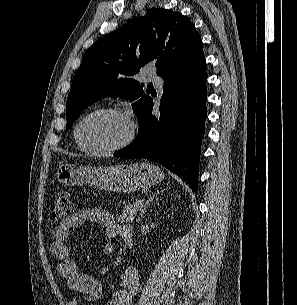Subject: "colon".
Here are the masks:
<instances>
[{
    "mask_svg": "<svg viewBox=\"0 0 297 305\" xmlns=\"http://www.w3.org/2000/svg\"><path fill=\"white\" fill-rule=\"evenodd\" d=\"M76 207V202L69 194H59L52 210V217L54 220H64L74 214Z\"/></svg>",
    "mask_w": 297,
    "mask_h": 305,
    "instance_id": "colon-1",
    "label": "colon"
}]
</instances>
